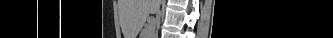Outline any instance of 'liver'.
Wrapping results in <instances>:
<instances>
[{
	"mask_svg": "<svg viewBox=\"0 0 333 38\" xmlns=\"http://www.w3.org/2000/svg\"><path fill=\"white\" fill-rule=\"evenodd\" d=\"M159 0H122L120 7L122 12L133 10L135 16V26L141 29L150 13H157L159 10Z\"/></svg>",
	"mask_w": 333,
	"mask_h": 38,
	"instance_id": "liver-1",
	"label": "liver"
}]
</instances>
